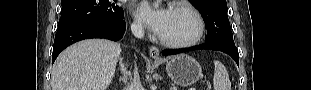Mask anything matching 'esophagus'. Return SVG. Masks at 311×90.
<instances>
[{
	"label": "esophagus",
	"instance_id": "esophagus-1",
	"mask_svg": "<svg viewBox=\"0 0 311 90\" xmlns=\"http://www.w3.org/2000/svg\"><path fill=\"white\" fill-rule=\"evenodd\" d=\"M149 54H150V57L151 58H154V59H159V49L155 46H151L150 49H149Z\"/></svg>",
	"mask_w": 311,
	"mask_h": 90
}]
</instances>
